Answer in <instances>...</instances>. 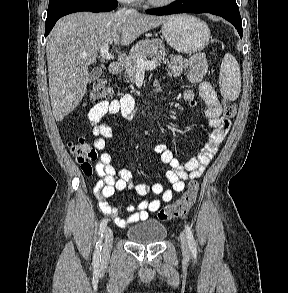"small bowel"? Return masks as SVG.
Returning <instances> with one entry per match:
<instances>
[{
  "label": "small bowel",
  "instance_id": "obj_1",
  "mask_svg": "<svg viewBox=\"0 0 288 293\" xmlns=\"http://www.w3.org/2000/svg\"><path fill=\"white\" fill-rule=\"evenodd\" d=\"M169 69L176 77L188 69L187 79L191 83L198 85L200 99L206 106L205 115L213 131L198 155L183 165L166 145L157 144L154 146V151L160 155L161 161L171 167L166 172L171 189H164L160 183H155L151 187L145 184H134L129 170L122 169L117 171L112 164L111 155L108 152L100 154L96 164V173L99 180L93 191L102 213L113 217L115 224L121 228L148 219L149 214L159 210L162 203L172 200L174 192H180L184 189L185 181L199 177L216 154L229 131L230 123L222 115V105L218 95L213 86L204 79L207 71L204 55L195 54L189 60L174 55L171 58ZM182 95L191 106L197 105V100L191 90L183 91ZM137 110L135 99L129 93L124 94L120 99L102 101L93 106L88 113V119L93 125L92 134L95 136V147L98 150H104L106 139L113 137V131L107 122L108 115L120 114L124 118H132L137 113ZM122 190H133L140 196L152 192L160 198L143 200L138 204L128 205L125 209L128 216L122 218L119 216L120 208L109 203V198L113 197L117 191Z\"/></svg>",
  "mask_w": 288,
  "mask_h": 293
}]
</instances>
